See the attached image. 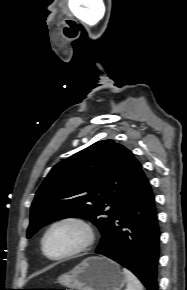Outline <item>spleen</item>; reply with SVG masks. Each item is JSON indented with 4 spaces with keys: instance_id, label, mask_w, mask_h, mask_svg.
I'll return each mask as SVG.
<instances>
[{
    "instance_id": "1",
    "label": "spleen",
    "mask_w": 187,
    "mask_h": 290,
    "mask_svg": "<svg viewBox=\"0 0 187 290\" xmlns=\"http://www.w3.org/2000/svg\"><path fill=\"white\" fill-rule=\"evenodd\" d=\"M123 273L127 280L126 290H143V287L137 277L128 269L123 268Z\"/></svg>"
}]
</instances>
